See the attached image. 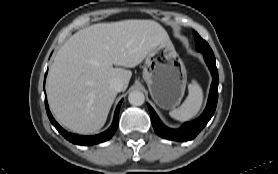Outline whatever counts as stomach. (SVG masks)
Here are the masks:
<instances>
[{"label": "stomach", "mask_w": 278, "mask_h": 174, "mask_svg": "<svg viewBox=\"0 0 278 174\" xmlns=\"http://www.w3.org/2000/svg\"><path fill=\"white\" fill-rule=\"evenodd\" d=\"M143 79L154 102L164 109L175 108L183 98L187 71L172 43L159 44L148 53Z\"/></svg>", "instance_id": "1"}]
</instances>
